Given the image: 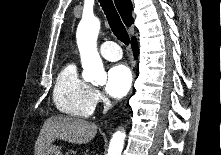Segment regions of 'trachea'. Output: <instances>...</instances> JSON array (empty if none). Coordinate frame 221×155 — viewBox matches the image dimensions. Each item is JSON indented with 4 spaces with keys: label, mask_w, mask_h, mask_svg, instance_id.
Returning a JSON list of instances; mask_svg holds the SVG:
<instances>
[{
    "label": "trachea",
    "mask_w": 221,
    "mask_h": 155,
    "mask_svg": "<svg viewBox=\"0 0 221 155\" xmlns=\"http://www.w3.org/2000/svg\"><path fill=\"white\" fill-rule=\"evenodd\" d=\"M102 6V9L107 17L109 25L114 35L125 45L129 44V35L123 25L112 0H98Z\"/></svg>",
    "instance_id": "obj_1"
}]
</instances>
